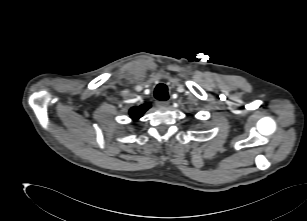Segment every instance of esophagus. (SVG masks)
<instances>
[{"mask_svg":"<svg viewBox=\"0 0 307 221\" xmlns=\"http://www.w3.org/2000/svg\"><path fill=\"white\" fill-rule=\"evenodd\" d=\"M156 106L158 108L168 107L169 106V102L168 101H156Z\"/></svg>","mask_w":307,"mask_h":221,"instance_id":"1","label":"esophagus"}]
</instances>
